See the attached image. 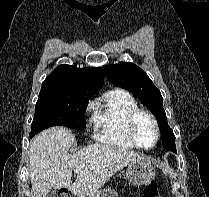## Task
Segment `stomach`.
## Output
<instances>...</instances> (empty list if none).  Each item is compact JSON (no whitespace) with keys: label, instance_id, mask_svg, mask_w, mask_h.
Masks as SVG:
<instances>
[{"label":"stomach","instance_id":"obj_1","mask_svg":"<svg viewBox=\"0 0 209 197\" xmlns=\"http://www.w3.org/2000/svg\"><path fill=\"white\" fill-rule=\"evenodd\" d=\"M126 176L134 185H146L154 179L155 168L145 158H139L128 164ZM86 197H118V195L115 191L106 188Z\"/></svg>","mask_w":209,"mask_h":197}]
</instances>
